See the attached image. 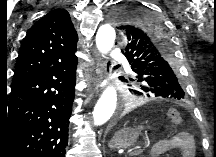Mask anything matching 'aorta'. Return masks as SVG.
<instances>
[{"label": "aorta", "instance_id": "aorta-1", "mask_svg": "<svg viewBox=\"0 0 216 157\" xmlns=\"http://www.w3.org/2000/svg\"><path fill=\"white\" fill-rule=\"evenodd\" d=\"M116 33L111 24L99 27L96 34V45L102 54H107L113 47ZM117 106V92L115 87L108 86L102 93L93 110V123L100 126L106 123L114 114Z\"/></svg>", "mask_w": 216, "mask_h": 157}]
</instances>
